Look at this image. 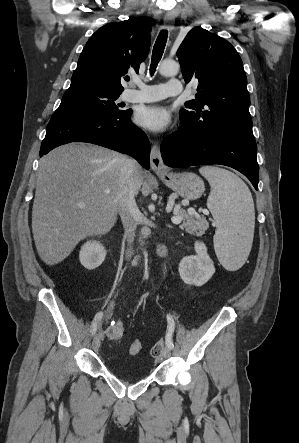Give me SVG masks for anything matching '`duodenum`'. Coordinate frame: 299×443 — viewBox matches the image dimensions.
I'll return each instance as SVG.
<instances>
[{
    "label": "duodenum",
    "mask_w": 299,
    "mask_h": 443,
    "mask_svg": "<svg viewBox=\"0 0 299 443\" xmlns=\"http://www.w3.org/2000/svg\"><path fill=\"white\" fill-rule=\"evenodd\" d=\"M158 251L160 254H163V253H165V248L163 246H160ZM130 253H131V250H127L126 255L129 256Z\"/></svg>",
    "instance_id": "obj_1"
}]
</instances>
